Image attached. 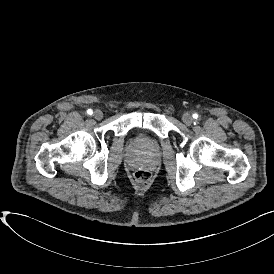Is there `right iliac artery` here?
<instances>
[{"mask_svg": "<svg viewBox=\"0 0 274 274\" xmlns=\"http://www.w3.org/2000/svg\"><path fill=\"white\" fill-rule=\"evenodd\" d=\"M87 113H88L89 115H92L93 111H92L91 109H88V110H87Z\"/></svg>", "mask_w": 274, "mask_h": 274, "instance_id": "right-iliac-artery-1", "label": "right iliac artery"}]
</instances>
